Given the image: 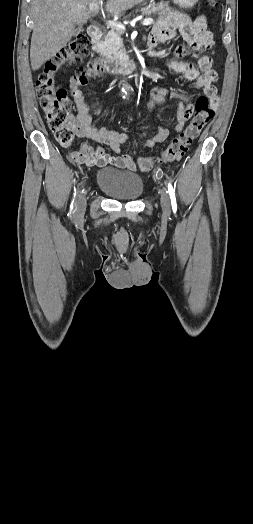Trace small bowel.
Returning a JSON list of instances; mask_svg holds the SVG:
<instances>
[{"instance_id": "small-bowel-1", "label": "small bowel", "mask_w": 253, "mask_h": 524, "mask_svg": "<svg viewBox=\"0 0 253 524\" xmlns=\"http://www.w3.org/2000/svg\"><path fill=\"white\" fill-rule=\"evenodd\" d=\"M178 32L192 49L211 50L214 46L213 36L212 33L206 29L204 16H199L194 20L180 16L172 20L160 21L152 28L149 37L151 53L154 54V48L164 45L173 39ZM189 54L190 51L187 48L178 47L174 51L175 58L168 62V68L186 80L195 81L196 87L202 89L203 96L210 99L213 104H216L218 93L215 83L218 75L214 69L212 59L207 55L200 57L198 67L176 59L180 56L187 57ZM168 96L177 102V124L175 129L176 131H181L189 121L192 112V105L187 103V99L183 94L170 91L164 87H153L149 93V101L146 105L147 110L150 114H154L157 106L162 104ZM73 97L77 110L76 134L81 138H87L88 141L81 146L79 151H71L69 153L70 159L77 164H85L87 166L104 167L112 165L130 171H136L138 166L133 155L113 156L106 153L103 148H95L93 145V143L105 144L115 153H118L120 146L130 140V136L126 133H119L105 127H98L94 123L92 115H99L102 111L101 107L98 106L91 110L84 100L83 93L78 97ZM168 135V128L162 125H160L155 134L149 138H146L148 131L144 130L140 138L146 139L141 146L133 151V154L138 153L142 149L152 148L155 144L163 142Z\"/></svg>"}]
</instances>
